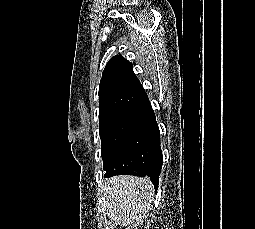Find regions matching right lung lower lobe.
<instances>
[{
    "label": "right lung lower lobe",
    "mask_w": 255,
    "mask_h": 229,
    "mask_svg": "<svg viewBox=\"0 0 255 229\" xmlns=\"http://www.w3.org/2000/svg\"><path fill=\"white\" fill-rule=\"evenodd\" d=\"M125 115L137 121H140L144 129H149L156 132L158 137L152 149V153L146 167L144 168L134 167L126 172L108 175L106 176V178L119 175V174L136 175L140 177L147 176L150 178V180L152 181L157 191L159 174L162 168L163 159H162V151L160 147V132L157 126L154 111L152 107L150 106V103L147 102L141 106L129 109L125 113Z\"/></svg>",
    "instance_id": "right-lung-lower-lobe-1"
}]
</instances>
